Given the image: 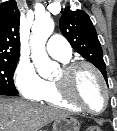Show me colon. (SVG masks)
<instances>
[{
    "mask_svg": "<svg viewBox=\"0 0 117 131\" xmlns=\"http://www.w3.org/2000/svg\"><path fill=\"white\" fill-rule=\"evenodd\" d=\"M86 131H103V130L97 125H91L86 129Z\"/></svg>",
    "mask_w": 117,
    "mask_h": 131,
    "instance_id": "obj_1",
    "label": "colon"
}]
</instances>
